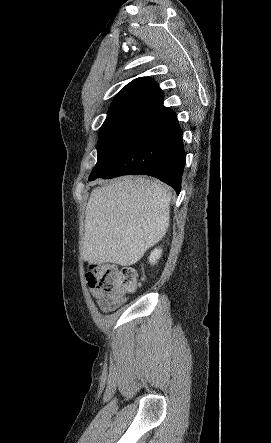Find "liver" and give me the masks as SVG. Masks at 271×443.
<instances>
[{"label": "liver", "mask_w": 271, "mask_h": 443, "mask_svg": "<svg viewBox=\"0 0 271 443\" xmlns=\"http://www.w3.org/2000/svg\"><path fill=\"white\" fill-rule=\"evenodd\" d=\"M172 194L146 176H123L92 190L85 210L83 257L133 265L164 237Z\"/></svg>", "instance_id": "6515ba94"}]
</instances>
